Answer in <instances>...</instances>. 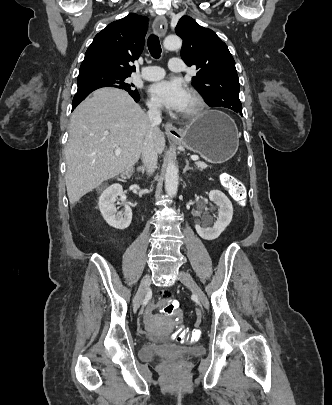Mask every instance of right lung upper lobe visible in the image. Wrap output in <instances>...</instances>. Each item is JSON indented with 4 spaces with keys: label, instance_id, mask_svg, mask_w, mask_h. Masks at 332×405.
<instances>
[{
    "label": "right lung upper lobe",
    "instance_id": "cb5924a9",
    "mask_svg": "<svg viewBox=\"0 0 332 405\" xmlns=\"http://www.w3.org/2000/svg\"><path fill=\"white\" fill-rule=\"evenodd\" d=\"M147 18L130 13L100 31L86 51L79 75L117 73L131 75L132 63L143 51Z\"/></svg>",
    "mask_w": 332,
    "mask_h": 405
}]
</instances>
